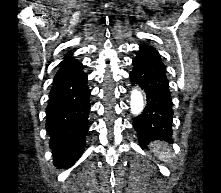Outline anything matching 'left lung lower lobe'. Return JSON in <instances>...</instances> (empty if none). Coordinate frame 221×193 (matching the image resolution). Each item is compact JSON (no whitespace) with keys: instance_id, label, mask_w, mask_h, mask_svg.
<instances>
[{"instance_id":"1","label":"left lung lower lobe","mask_w":221,"mask_h":193,"mask_svg":"<svg viewBox=\"0 0 221 193\" xmlns=\"http://www.w3.org/2000/svg\"><path fill=\"white\" fill-rule=\"evenodd\" d=\"M131 82L146 93L147 104L143 112L135 117L133 126L138 133L142 146L150 141L171 140L172 135V99L166 67L158 51L148 45H141L133 59ZM158 132V135L154 133Z\"/></svg>"}]
</instances>
